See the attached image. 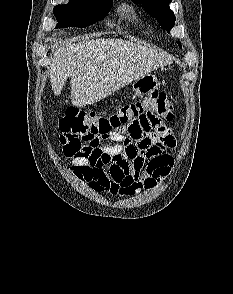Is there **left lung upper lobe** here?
Segmentation results:
<instances>
[{"label": "left lung upper lobe", "mask_w": 233, "mask_h": 294, "mask_svg": "<svg viewBox=\"0 0 233 294\" xmlns=\"http://www.w3.org/2000/svg\"><path fill=\"white\" fill-rule=\"evenodd\" d=\"M134 3H141L143 7L155 17L161 26L169 30L174 26L175 15L169 8L171 0H132ZM181 47V43L178 42Z\"/></svg>", "instance_id": "obj_1"}]
</instances>
